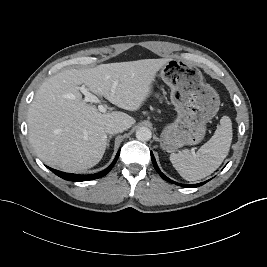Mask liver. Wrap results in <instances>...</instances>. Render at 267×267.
<instances>
[{"label": "liver", "instance_id": "6515ba94", "mask_svg": "<svg viewBox=\"0 0 267 267\" xmlns=\"http://www.w3.org/2000/svg\"><path fill=\"white\" fill-rule=\"evenodd\" d=\"M168 60L142 59L70 69L45 80L27 115L29 141L38 157L65 172L98 164L107 146L106 124L120 122L128 129L135 119L120 111L100 113L83 102L79 86H86L119 108L136 111L148 97L156 73Z\"/></svg>", "mask_w": 267, "mask_h": 267}]
</instances>
